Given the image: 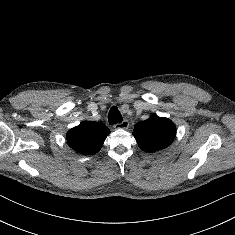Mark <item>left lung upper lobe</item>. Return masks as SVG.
<instances>
[{
  "instance_id": "obj_1",
  "label": "left lung upper lobe",
  "mask_w": 235,
  "mask_h": 235,
  "mask_svg": "<svg viewBox=\"0 0 235 235\" xmlns=\"http://www.w3.org/2000/svg\"><path fill=\"white\" fill-rule=\"evenodd\" d=\"M133 135L142 150L155 152L168 147L173 142L176 127L168 118L152 114L147 120L135 125Z\"/></svg>"
}]
</instances>
